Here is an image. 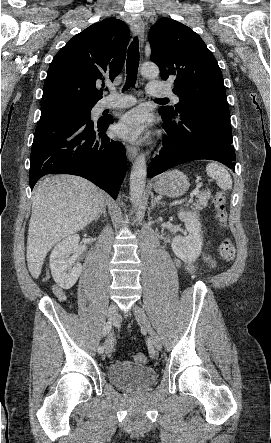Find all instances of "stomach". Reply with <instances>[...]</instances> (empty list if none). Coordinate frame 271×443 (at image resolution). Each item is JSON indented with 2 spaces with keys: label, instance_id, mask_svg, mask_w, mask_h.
<instances>
[{
  "label": "stomach",
  "instance_id": "stomach-1",
  "mask_svg": "<svg viewBox=\"0 0 271 443\" xmlns=\"http://www.w3.org/2000/svg\"><path fill=\"white\" fill-rule=\"evenodd\" d=\"M189 180L183 172L179 170H171L166 172L163 176L156 178L153 184L154 192L161 194V196H169V198H178L186 194L189 188Z\"/></svg>",
  "mask_w": 271,
  "mask_h": 443
}]
</instances>
